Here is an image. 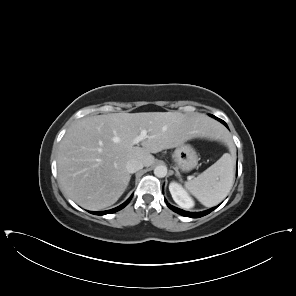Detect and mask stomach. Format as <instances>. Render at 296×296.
I'll list each match as a JSON object with an SVG mask.
<instances>
[{
	"label": "stomach",
	"mask_w": 296,
	"mask_h": 296,
	"mask_svg": "<svg viewBox=\"0 0 296 296\" xmlns=\"http://www.w3.org/2000/svg\"><path fill=\"white\" fill-rule=\"evenodd\" d=\"M175 166L183 172H188L194 169L198 164V155L194 148L189 144L178 146L173 155Z\"/></svg>",
	"instance_id": "1"
}]
</instances>
